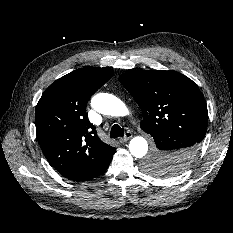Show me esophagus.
<instances>
[{"label": "esophagus", "mask_w": 233, "mask_h": 233, "mask_svg": "<svg viewBox=\"0 0 233 233\" xmlns=\"http://www.w3.org/2000/svg\"><path fill=\"white\" fill-rule=\"evenodd\" d=\"M132 137V132L131 131H126L125 136L120 138L119 141L121 143L128 141Z\"/></svg>", "instance_id": "1"}]
</instances>
